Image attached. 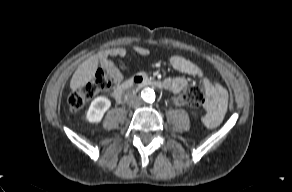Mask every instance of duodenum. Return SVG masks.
I'll return each instance as SVG.
<instances>
[{
    "label": "duodenum",
    "instance_id": "obj_1",
    "mask_svg": "<svg viewBox=\"0 0 292 192\" xmlns=\"http://www.w3.org/2000/svg\"><path fill=\"white\" fill-rule=\"evenodd\" d=\"M147 86L161 88L162 83L160 81L148 78L144 75H136L132 79L122 84L117 96V101L122 103L133 94H135L137 91H139L141 88Z\"/></svg>",
    "mask_w": 292,
    "mask_h": 192
}]
</instances>
